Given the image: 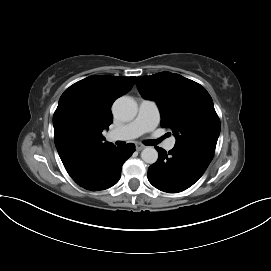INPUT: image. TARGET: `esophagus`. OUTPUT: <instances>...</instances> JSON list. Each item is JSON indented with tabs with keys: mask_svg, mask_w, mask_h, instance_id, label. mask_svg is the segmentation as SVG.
<instances>
[{
	"mask_svg": "<svg viewBox=\"0 0 271 271\" xmlns=\"http://www.w3.org/2000/svg\"><path fill=\"white\" fill-rule=\"evenodd\" d=\"M144 148H145V146L143 144H141V143L136 144V150L141 151Z\"/></svg>",
	"mask_w": 271,
	"mask_h": 271,
	"instance_id": "1",
	"label": "esophagus"
}]
</instances>
